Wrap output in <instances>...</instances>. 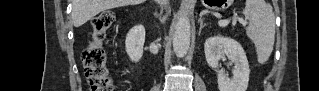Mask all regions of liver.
Returning a JSON list of instances; mask_svg holds the SVG:
<instances>
[{
	"label": "liver",
	"instance_id": "1",
	"mask_svg": "<svg viewBox=\"0 0 319 91\" xmlns=\"http://www.w3.org/2000/svg\"><path fill=\"white\" fill-rule=\"evenodd\" d=\"M143 2L145 0H73V24L75 27H79L105 10Z\"/></svg>",
	"mask_w": 319,
	"mask_h": 91
}]
</instances>
